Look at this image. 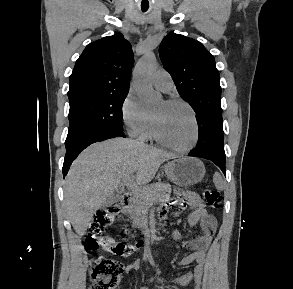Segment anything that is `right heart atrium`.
Here are the masks:
<instances>
[{
    "instance_id": "d8ad5b80",
    "label": "right heart atrium",
    "mask_w": 293,
    "mask_h": 289,
    "mask_svg": "<svg viewBox=\"0 0 293 289\" xmlns=\"http://www.w3.org/2000/svg\"><path fill=\"white\" fill-rule=\"evenodd\" d=\"M121 118L127 132L133 137L140 136L151 121L150 115L133 93H128L123 101Z\"/></svg>"
}]
</instances>
